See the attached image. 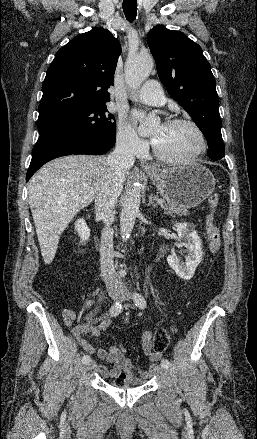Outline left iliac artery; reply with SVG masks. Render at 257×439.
Listing matches in <instances>:
<instances>
[{"label": "left iliac artery", "instance_id": "1", "mask_svg": "<svg viewBox=\"0 0 257 439\" xmlns=\"http://www.w3.org/2000/svg\"><path fill=\"white\" fill-rule=\"evenodd\" d=\"M133 300H134V303L137 307H139L141 309H144L146 307V301L141 294L134 292L133 293ZM161 365L166 366L168 368L170 366V362L167 359H163L161 361Z\"/></svg>", "mask_w": 257, "mask_h": 439}]
</instances>
